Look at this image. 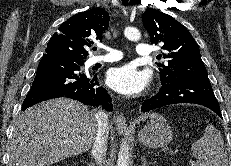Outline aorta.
<instances>
[{
	"label": "aorta",
	"instance_id": "762f6f07",
	"mask_svg": "<svg viewBox=\"0 0 231 166\" xmlns=\"http://www.w3.org/2000/svg\"><path fill=\"white\" fill-rule=\"evenodd\" d=\"M125 37L130 41H138L141 33L137 28L126 27L124 30ZM129 147L128 143L123 140L118 153L117 166H129Z\"/></svg>",
	"mask_w": 231,
	"mask_h": 166
}]
</instances>
